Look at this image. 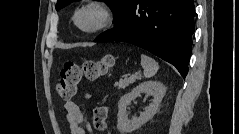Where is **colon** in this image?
I'll list each match as a JSON object with an SVG mask.
<instances>
[{"mask_svg": "<svg viewBox=\"0 0 239 134\" xmlns=\"http://www.w3.org/2000/svg\"><path fill=\"white\" fill-rule=\"evenodd\" d=\"M114 64L112 55H105L98 61H85L81 64L66 62L61 71L57 84L59 95L63 99H70L77 93L78 85L83 78L96 81L104 77ZM109 110L106 106L95 108L93 123L96 129L105 131L107 129V117Z\"/></svg>", "mask_w": 239, "mask_h": 134, "instance_id": "obj_1", "label": "colon"}]
</instances>
